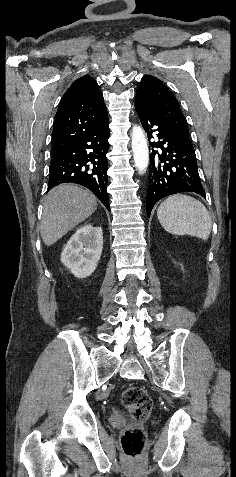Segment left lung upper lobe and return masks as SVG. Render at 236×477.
I'll return each mask as SVG.
<instances>
[{
  "label": "left lung upper lobe",
  "mask_w": 236,
  "mask_h": 477,
  "mask_svg": "<svg viewBox=\"0 0 236 477\" xmlns=\"http://www.w3.org/2000/svg\"><path fill=\"white\" fill-rule=\"evenodd\" d=\"M136 102L144 105L177 137L190 144L188 125L171 91L158 78L145 75L136 93Z\"/></svg>",
  "instance_id": "obj_1"
}]
</instances>
